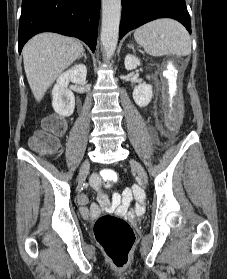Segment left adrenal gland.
Masks as SVG:
<instances>
[{"label":"left adrenal gland","mask_w":227,"mask_h":279,"mask_svg":"<svg viewBox=\"0 0 227 279\" xmlns=\"http://www.w3.org/2000/svg\"><path fill=\"white\" fill-rule=\"evenodd\" d=\"M129 48L134 49L132 44L127 45Z\"/></svg>","instance_id":"1"}]
</instances>
